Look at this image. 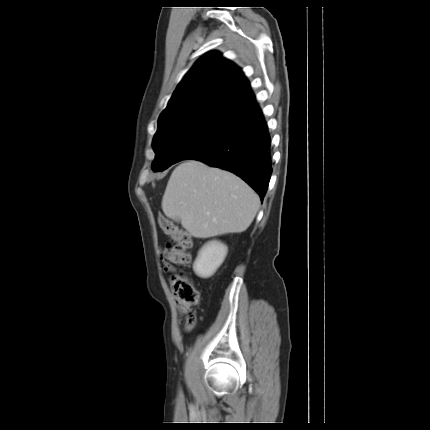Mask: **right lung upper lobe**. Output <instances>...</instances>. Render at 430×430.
Segmentation results:
<instances>
[{
  "label": "right lung upper lobe",
  "instance_id": "1",
  "mask_svg": "<svg viewBox=\"0 0 430 430\" xmlns=\"http://www.w3.org/2000/svg\"><path fill=\"white\" fill-rule=\"evenodd\" d=\"M248 86L240 68L218 52H209L179 83L160 118L209 100H224L240 116L256 104L252 92L245 89Z\"/></svg>",
  "mask_w": 430,
  "mask_h": 430
}]
</instances>
